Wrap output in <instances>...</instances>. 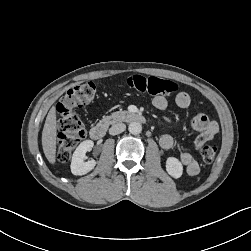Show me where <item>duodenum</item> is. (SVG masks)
Instances as JSON below:
<instances>
[{
	"mask_svg": "<svg viewBox=\"0 0 251 251\" xmlns=\"http://www.w3.org/2000/svg\"><path fill=\"white\" fill-rule=\"evenodd\" d=\"M122 119L127 122L144 123L145 117L138 113H125ZM106 133V127L104 125H95L90 129V137L93 140H100L104 137Z\"/></svg>",
	"mask_w": 251,
	"mask_h": 251,
	"instance_id": "duodenum-1",
	"label": "duodenum"
}]
</instances>
